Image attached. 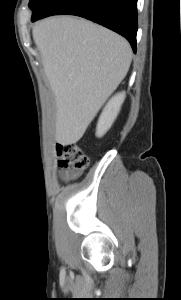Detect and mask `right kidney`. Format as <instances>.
Instances as JSON below:
<instances>
[{
  "label": "right kidney",
  "mask_w": 181,
  "mask_h": 300,
  "mask_svg": "<svg viewBox=\"0 0 181 300\" xmlns=\"http://www.w3.org/2000/svg\"><path fill=\"white\" fill-rule=\"evenodd\" d=\"M125 99V92H121L112 97L103 109L96 128V136L102 137L114 123L121 105Z\"/></svg>",
  "instance_id": "1"
}]
</instances>
